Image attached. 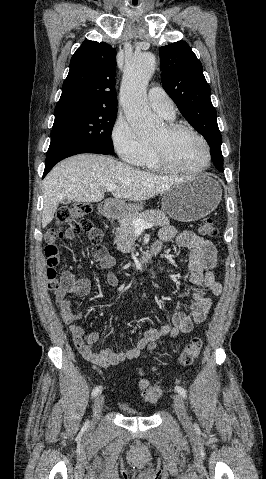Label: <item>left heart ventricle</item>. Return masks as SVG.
<instances>
[{"mask_svg":"<svg viewBox=\"0 0 266 479\" xmlns=\"http://www.w3.org/2000/svg\"><path fill=\"white\" fill-rule=\"evenodd\" d=\"M151 142L159 146L165 157L178 167L196 169L204 164V148L189 131L170 132L164 126L152 136Z\"/></svg>","mask_w":266,"mask_h":479,"instance_id":"left-heart-ventricle-1","label":"left heart ventricle"}]
</instances>
